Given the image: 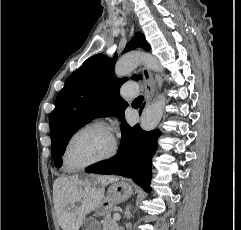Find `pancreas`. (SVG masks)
I'll return each mask as SVG.
<instances>
[{
    "instance_id": "1",
    "label": "pancreas",
    "mask_w": 241,
    "mask_h": 230,
    "mask_svg": "<svg viewBox=\"0 0 241 230\" xmlns=\"http://www.w3.org/2000/svg\"><path fill=\"white\" fill-rule=\"evenodd\" d=\"M103 225V230H118L119 226L116 220L112 216H107L101 222Z\"/></svg>"
}]
</instances>
